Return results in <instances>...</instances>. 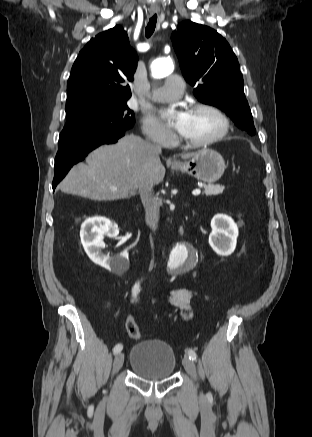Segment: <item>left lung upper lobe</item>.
Masks as SVG:
<instances>
[{"label": "left lung upper lobe", "instance_id": "5c2ea615", "mask_svg": "<svg viewBox=\"0 0 312 437\" xmlns=\"http://www.w3.org/2000/svg\"><path fill=\"white\" fill-rule=\"evenodd\" d=\"M172 44L194 95L224 111L235 124L254 135L251 110L244 94L239 63L228 42L214 29L192 21L178 25Z\"/></svg>", "mask_w": 312, "mask_h": 437}]
</instances>
